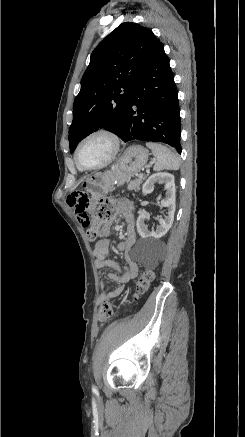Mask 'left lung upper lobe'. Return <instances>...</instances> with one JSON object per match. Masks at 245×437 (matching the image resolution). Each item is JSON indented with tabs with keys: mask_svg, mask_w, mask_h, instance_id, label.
I'll use <instances>...</instances> for the list:
<instances>
[{
	"mask_svg": "<svg viewBox=\"0 0 245 437\" xmlns=\"http://www.w3.org/2000/svg\"><path fill=\"white\" fill-rule=\"evenodd\" d=\"M160 43L148 28L126 22L94 49L73 105L71 153L82 139L99 128L123 136L132 87Z\"/></svg>",
	"mask_w": 245,
	"mask_h": 437,
	"instance_id": "left-lung-upper-lobe-1",
	"label": "left lung upper lobe"
}]
</instances>
